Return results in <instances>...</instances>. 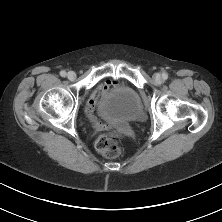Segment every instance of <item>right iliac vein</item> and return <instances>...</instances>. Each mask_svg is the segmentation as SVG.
Returning <instances> with one entry per match:
<instances>
[{
	"mask_svg": "<svg viewBox=\"0 0 222 222\" xmlns=\"http://www.w3.org/2000/svg\"><path fill=\"white\" fill-rule=\"evenodd\" d=\"M67 77L69 80H74L76 78V73L73 71H69Z\"/></svg>",
	"mask_w": 222,
	"mask_h": 222,
	"instance_id": "1",
	"label": "right iliac vein"
}]
</instances>
